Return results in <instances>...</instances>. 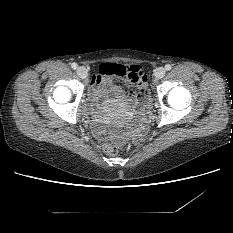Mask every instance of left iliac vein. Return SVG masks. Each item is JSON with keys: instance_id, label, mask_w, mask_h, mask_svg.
Returning a JSON list of instances; mask_svg holds the SVG:
<instances>
[{"instance_id": "obj_1", "label": "left iliac vein", "mask_w": 233, "mask_h": 233, "mask_svg": "<svg viewBox=\"0 0 233 233\" xmlns=\"http://www.w3.org/2000/svg\"><path fill=\"white\" fill-rule=\"evenodd\" d=\"M165 73H166L165 68H163V67H158V68L156 69L155 76H156V78L161 79V78L164 77Z\"/></svg>"}]
</instances>
